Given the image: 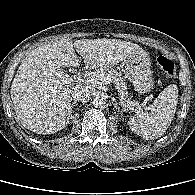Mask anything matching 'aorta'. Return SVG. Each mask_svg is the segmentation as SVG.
I'll return each instance as SVG.
<instances>
[{"label":"aorta","instance_id":"obj_1","mask_svg":"<svg viewBox=\"0 0 195 195\" xmlns=\"http://www.w3.org/2000/svg\"><path fill=\"white\" fill-rule=\"evenodd\" d=\"M93 105L95 106V107H99V106H101L103 103H104V101H103V98H101L100 96H96L94 99H93Z\"/></svg>","mask_w":195,"mask_h":195}]
</instances>
